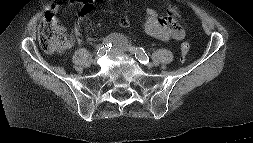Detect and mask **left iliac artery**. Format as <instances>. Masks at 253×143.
Wrapping results in <instances>:
<instances>
[{
  "label": "left iliac artery",
  "instance_id": "obj_1",
  "mask_svg": "<svg viewBox=\"0 0 253 143\" xmlns=\"http://www.w3.org/2000/svg\"><path fill=\"white\" fill-rule=\"evenodd\" d=\"M132 53L135 54L140 63L147 64L149 62V57L143 48L132 47Z\"/></svg>",
  "mask_w": 253,
  "mask_h": 143
}]
</instances>
